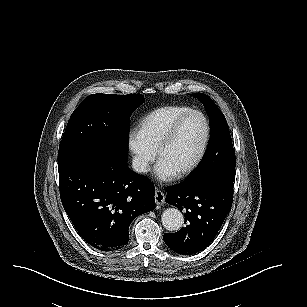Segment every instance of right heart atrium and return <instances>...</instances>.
<instances>
[{"instance_id": "obj_1", "label": "right heart atrium", "mask_w": 307, "mask_h": 307, "mask_svg": "<svg viewBox=\"0 0 307 307\" xmlns=\"http://www.w3.org/2000/svg\"><path fill=\"white\" fill-rule=\"evenodd\" d=\"M131 145L133 146L136 157L142 162H149L153 158V151L149 146V141L143 133L137 132L131 136Z\"/></svg>"}]
</instances>
